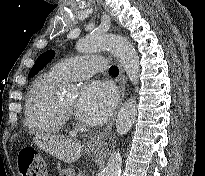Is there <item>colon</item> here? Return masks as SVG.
Listing matches in <instances>:
<instances>
[{
	"label": "colon",
	"instance_id": "1",
	"mask_svg": "<svg viewBox=\"0 0 205 176\" xmlns=\"http://www.w3.org/2000/svg\"><path fill=\"white\" fill-rule=\"evenodd\" d=\"M18 166L22 176H46V162L34 152L23 151L19 157Z\"/></svg>",
	"mask_w": 205,
	"mask_h": 176
}]
</instances>
